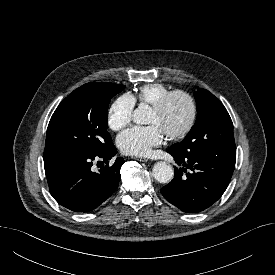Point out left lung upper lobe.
<instances>
[{
  "instance_id": "obj_1",
  "label": "left lung upper lobe",
  "mask_w": 275,
  "mask_h": 275,
  "mask_svg": "<svg viewBox=\"0 0 275 275\" xmlns=\"http://www.w3.org/2000/svg\"><path fill=\"white\" fill-rule=\"evenodd\" d=\"M197 119L180 143L170 147L179 155L207 151L218 155L236 156L232 120L223 104L208 90L200 88L194 94Z\"/></svg>"
}]
</instances>
